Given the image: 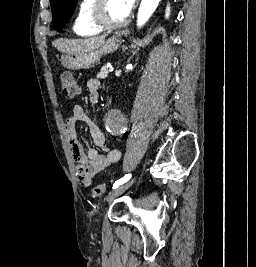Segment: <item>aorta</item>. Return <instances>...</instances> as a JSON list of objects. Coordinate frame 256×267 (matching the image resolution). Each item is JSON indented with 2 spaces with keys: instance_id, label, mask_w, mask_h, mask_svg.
Instances as JSON below:
<instances>
[{
  "instance_id": "762f6f07",
  "label": "aorta",
  "mask_w": 256,
  "mask_h": 267,
  "mask_svg": "<svg viewBox=\"0 0 256 267\" xmlns=\"http://www.w3.org/2000/svg\"><path fill=\"white\" fill-rule=\"evenodd\" d=\"M161 0H141L137 14V28H142L154 14L156 8L159 6ZM109 113H118V108H109ZM105 122H126V117H105Z\"/></svg>"
}]
</instances>
